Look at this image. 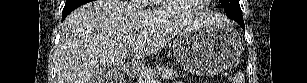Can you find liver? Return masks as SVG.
I'll use <instances>...</instances> for the list:
<instances>
[{"label":"liver","instance_id":"6515ba94","mask_svg":"<svg viewBox=\"0 0 307 83\" xmlns=\"http://www.w3.org/2000/svg\"><path fill=\"white\" fill-rule=\"evenodd\" d=\"M218 21L210 12L172 15L121 0L84 4L62 24L57 83H95L93 75L100 67L121 70L129 53L143 59L156 54L174 36Z\"/></svg>","mask_w":307,"mask_h":83}]
</instances>
